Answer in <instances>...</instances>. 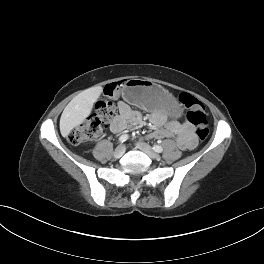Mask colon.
Instances as JSON below:
<instances>
[{
    "mask_svg": "<svg viewBox=\"0 0 264 264\" xmlns=\"http://www.w3.org/2000/svg\"><path fill=\"white\" fill-rule=\"evenodd\" d=\"M119 84L113 83L106 87L104 99L97 102L93 115L79 124L69 135V142L79 145L97 135L107 125L115 113V105L110 100L118 91ZM180 102L187 109L188 121L194 125L195 134L200 140H204L209 133L208 119L204 105L189 93L179 96Z\"/></svg>",
    "mask_w": 264,
    "mask_h": 264,
    "instance_id": "obj_1",
    "label": "colon"
}]
</instances>
